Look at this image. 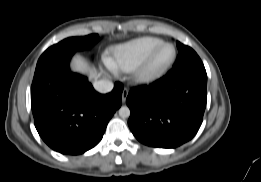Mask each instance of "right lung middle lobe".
Masks as SVG:
<instances>
[{
  "instance_id": "right-lung-middle-lobe-1",
  "label": "right lung middle lobe",
  "mask_w": 261,
  "mask_h": 182,
  "mask_svg": "<svg viewBox=\"0 0 261 182\" xmlns=\"http://www.w3.org/2000/svg\"><path fill=\"white\" fill-rule=\"evenodd\" d=\"M98 40V34L84 37L67 38L56 45L49 47L39 58L38 63L62 53L76 52L91 48Z\"/></svg>"
}]
</instances>
